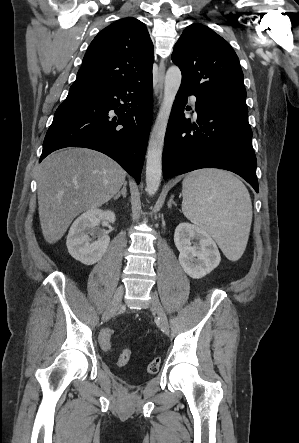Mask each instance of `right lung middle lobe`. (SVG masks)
<instances>
[{"label":"right lung middle lobe","instance_id":"right-lung-middle-lobe-1","mask_svg":"<svg viewBox=\"0 0 299 443\" xmlns=\"http://www.w3.org/2000/svg\"><path fill=\"white\" fill-rule=\"evenodd\" d=\"M70 90H77V89H71V88H70Z\"/></svg>","mask_w":299,"mask_h":443}]
</instances>
